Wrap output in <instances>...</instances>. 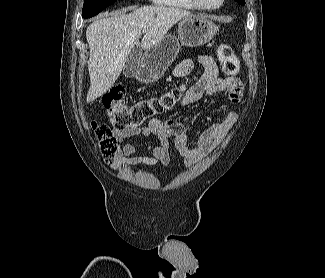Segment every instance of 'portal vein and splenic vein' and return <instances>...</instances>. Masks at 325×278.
I'll list each match as a JSON object with an SVG mask.
<instances>
[{
	"label": "portal vein and splenic vein",
	"mask_w": 325,
	"mask_h": 278,
	"mask_svg": "<svg viewBox=\"0 0 325 278\" xmlns=\"http://www.w3.org/2000/svg\"><path fill=\"white\" fill-rule=\"evenodd\" d=\"M142 32H143V33H145V32H146V30H142Z\"/></svg>",
	"instance_id": "1"
}]
</instances>
